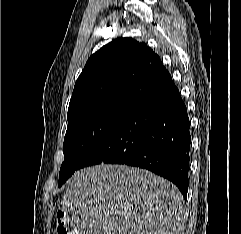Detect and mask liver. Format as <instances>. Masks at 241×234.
I'll return each mask as SVG.
<instances>
[{
  "label": "liver",
  "mask_w": 241,
  "mask_h": 234,
  "mask_svg": "<svg viewBox=\"0 0 241 234\" xmlns=\"http://www.w3.org/2000/svg\"><path fill=\"white\" fill-rule=\"evenodd\" d=\"M78 234H179L184 200L144 169L101 164L75 172L61 201Z\"/></svg>",
  "instance_id": "6515ba94"
}]
</instances>
